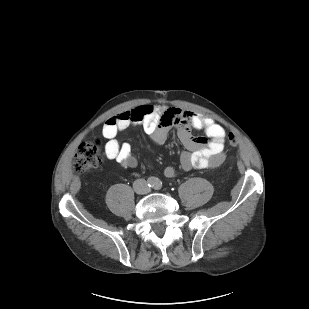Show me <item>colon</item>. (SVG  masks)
<instances>
[{
	"label": "colon",
	"mask_w": 309,
	"mask_h": 309,
	"mask_svg": "<svg viewBox=\"0 0 309 309\" xmlns=\"http://www.w3.org/2000/svg\"><path fill=\"white\" fill-rule=\"evenodd\" d=\"M229 143L235 146L238 142L235 134H229ZM103 164V158L101 154L100 141L94 140L81 144L75 154L73 161V168L78 173H89Z\"/></svg>",
	"instance_id": "obj_1"
}]
</instances>
